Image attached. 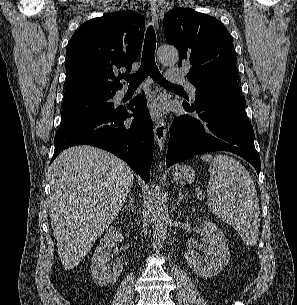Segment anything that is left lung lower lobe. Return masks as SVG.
<instances>
[{
    "mask_svg": "<svg viewBox=\"0 0 297 305\" xmlns=\"http://www.w3.org/2000/svg\"><path fill=\"white\" fill-rule=\"evenodd\" d=\"M183 108L197 116L181 115L174 119L167 166L201 153L229 151L251 163L259 175L261 164L254 146V131L237 82L196 94L195 102L184 101Z\"/></svg>",
    "mask_w": 297,
    "mask_h": 305,
    "instance_id": "0a47b994",
    "label": "left lung lower lobe"
}]
</instances>
